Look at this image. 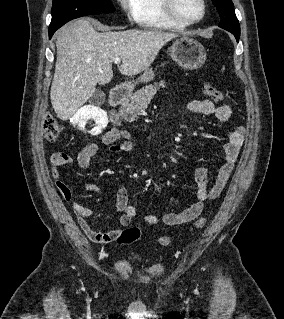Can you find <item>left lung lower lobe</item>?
<instances>
[{
	"instance_id": "0a47b994",
	"label": "left lung lower lobe",
	"mask_w": 284,
	"mask_h": 319,
	"mask_svg": "<svg viewBox=\"0 0 284 319\" xmlns=\"http://www.w3.org/2000/svg\"><path fill=\"white\" fill-rule=\"evenodd\" d=\"M234 36H235V38H236V40H237V42L239 41V37H240V34H236V33H232Z\"/></svg>"
}]
</instances>
